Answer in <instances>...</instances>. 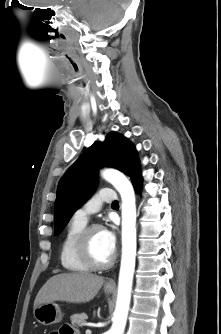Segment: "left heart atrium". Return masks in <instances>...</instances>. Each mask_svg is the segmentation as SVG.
Masks as SVG:
<instances>
[{
  "mask_svg": "<svg viewBox=\"0 0 221 334\" xmlns=\"http://www.w3.org/2000/svg\"><path fill=\"white\" fill-rule=\"evenodd\" d=\"M107 245L114 251L116 247V235L112 229H103Z\"/></svg>",
  "mask_w": 221,
  "mask_h": 334,
  "instance_id": "obj_1",
  "label": "left heart atrium"
}]
</instances>
